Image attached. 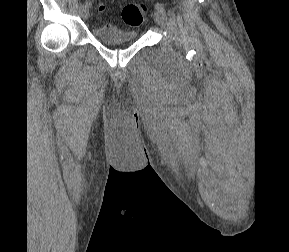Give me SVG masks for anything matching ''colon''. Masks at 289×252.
Returning <instances> with one entry per match:
<instances>
[{
	"label": "colon",
	"mask_w": 289,
	"mask_h": 252,
	"mask_svg": "<svg viewBox=\"0 0 289 252\" xmlns=\"http://www.w3.org/2000/svg\"><path fill=\"white\" fill-rule=\"evenodd\" d=\"M99 10H104V5H99ZM147 15V8L140 3L127 4L122 10V21L127 26L137 27L140 26Z\"/></svg>",
	"instance_id": "obj_1"
}]
</instances>
